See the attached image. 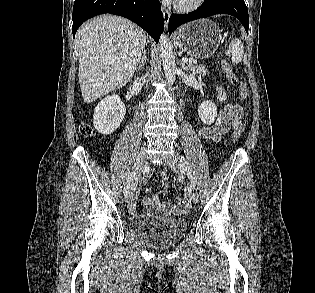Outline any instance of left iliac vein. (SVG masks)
<instances>
[{"label": "left iliac vein", "mask_w": 315, "mask_h": 293, "mask_svg": "<svg viewBox=\"0 0 315 293\" xmlns=\"http://www.w3.org/2000/svg\"><path fill=\"white\" fill-rule=\"evenodd\" d=\"M168 165L175 172H178L181 169V159L177 152H175L168 161ZM188 196L193 203L198 202V192L191 183H188Z\"/></svg>", "instance_id": "4c4485c4"}]
</instances>
